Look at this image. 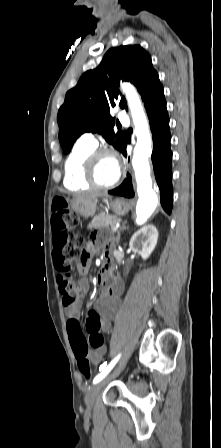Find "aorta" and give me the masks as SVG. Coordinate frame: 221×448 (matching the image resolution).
<instances>
[{
	"mask_svg": "<svg viewBox=\"0 0 221 448\" xmlns=\"http://www.w3.org/2000/svg\"><path fill=\"white\" fill-rule=\"evenodd\" d=\"M135 126L137 143L133 151L132 166L137 182L138 202L136 206V222L143 224L155 210L158 197L152 189L148 157L151 154L152 138L149 124L144 113L141 100L135 88L124 83L122 85Z\"/></svg>",
	"mask_w": 221,
	"mask_h": 448,
	"instance_id": "obj_1",
	"label": "aorta"
}]
</instances>
